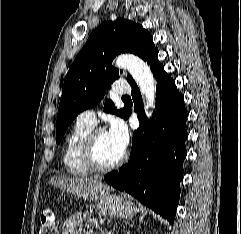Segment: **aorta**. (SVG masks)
I'll list each match as a JSON object with an SVG mask.
<instances>
[{
  "label": "aorta",
  "mask_w": 241,
  "mask_h": 234,
  "mask_svg": "<svg viewBox=\"0 0 241 234\" xmlns=\"http://www.w3.org/2000/svg\"><path fill=\"white\" fill-rule=\"evenodd\" d=\"M115 65L130 72L145 98V109L150 115L149 110L154 108L156 98V83L150 67L139 57L128 54L118 56Z\"/></svg>",
  "instance_id": "aorta-1"
}]
</instances>
